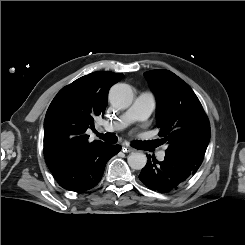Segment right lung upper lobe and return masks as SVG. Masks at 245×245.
Listing matches in <instances>:
<instances>
[{
    "label": "right lung upper lobe",
    "instance_id": "obj_1",
    "mask_svg": "<svg viewBox=\"0 0 245 245\" xmlns=\"http://www.w3.org/2000/svg\"><path fill=\"white\" fill-rule=\"evenodd\" d=\"M122 74L98 71L83 76L62 88L52 100L44 120V158L53 175L69 161L99 147L88 143V128L93 117L104 115L109 88Z\"/></svg>",
    "mask_w": 245,
    "mask_h": 245
}]
</instances>
